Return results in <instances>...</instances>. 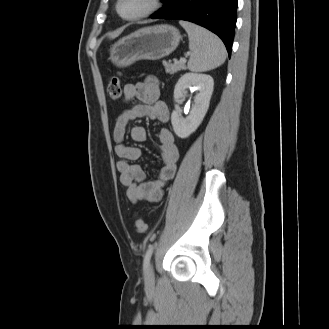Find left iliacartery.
<instances>
[{"label": "left iliac artery", "mask_w": 329, "mask_h": 329, "mask_svg": "<svg viewBox=\"0 0 329 329\" xmlns=\"http://www.w3.org/2000/svg\"><path fill=\"white\" fill-rule=\"evenodd\" d=\"M154 245L149 246L148 250L146 251L144 262H143V269L144 271H147L150 263V259L153 253Z\"/></svg>", "instance_id": "left-iliac-artery-1"}]
</instances>
